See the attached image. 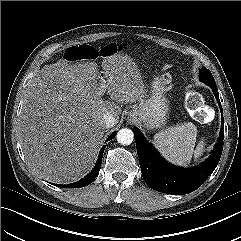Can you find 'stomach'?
Returning <instances> with one entry per match:
<instances>
[{"label":"stomach","mask_w":241,"mask_h":241,"mask_svg":"<svg viewBox=\"0 0 241 241\" xmlns=\"http://www.w3.org/2000/svg\"><path fill=\"white\" fill-rule=\"evenodd\" d=\"M168 81L157 77L151 84L149 94L128 112V120L140 121L147 129L162 128L166 124L169 103L165 96Z\"/></svg>","instance_id":"1"}]
</instances>
